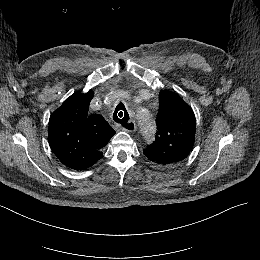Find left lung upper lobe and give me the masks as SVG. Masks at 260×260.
Segmentation results:
<instances>
[{
    "label": "left lung upper lobe",
    "instance_id": "obj_1",
    "mask_svg": "<svg viewBox=\"0 0 260 260\" xmlns=\"http://www.w3.org/2000/svg\"><path fill=\"white\" fill-rule=\"evenodd\" d=\"M159 102L155 141L143 153L158 166L172 167L181 163L193 148L195 116L191 107L171 91L162 90Z\"/></svg>",
    "mask_w": 260,
    "mask_h": 260
}]
</instances>
